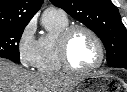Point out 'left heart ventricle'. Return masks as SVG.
Segmentation results:
<instances>
[{
    "label": "left heart ventricle",
    "mask_w": 127,
    "mask_h": 92,
    "mask_svg": "<svg viewBox=\"0 0 127 92\" xmlns=\"http://www.w3.org/2000/svg\"><path fill=\"white\" fill-rule=\"evenodd\" d=\"M69 56L76 68L85 69L98 61L99 51L93 38L88 33L79 31L71 40Z\"/></svg>",
    "instance_id": "b2bd125f"
}]
</instances>
